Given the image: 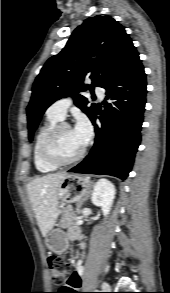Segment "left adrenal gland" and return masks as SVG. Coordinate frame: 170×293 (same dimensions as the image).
Listing matches in <instances>:
<instances>
[{
  "label": "left adrenal gland",
  "mask_w": 170,
  "mask_h": 293,
  "mask_svg": "<svg viewBox=\"0 0 170 293\" xmlns=\"http://www.w3.org/2000/svg\"><path fill=\"white\" fill-rule=\"evenodd\" d=\"M87 199H88V196H86V197L84 198L83 202H85ZM83 202H81L79 206H81Z\"/></svg>",
  "instance_id": "obj_1"
}]
</instances>
